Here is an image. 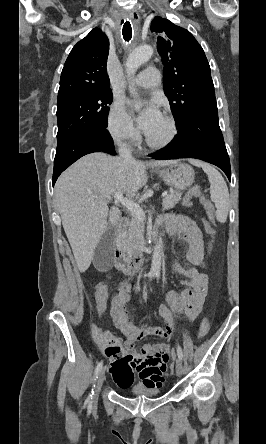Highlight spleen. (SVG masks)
<instances>
[{"label": "spleen", "instance_id": "spleen-1", "mask_svg": "<svg viewBox=\"0 0 266 444\" xmlns=\"http://www.w3.org/2000/svg\"><path fill=\"white\" fill-rule=\"evenodd\" d=\"M190 163L197 167H201L207 174L210 182V197L217 208V220L221 223L226 222L229 210V192L224 178L220 172L207 163L198 160H190Z\"/></svg>", "mask_w": 266, "mask_h": 444}]
</instances>
